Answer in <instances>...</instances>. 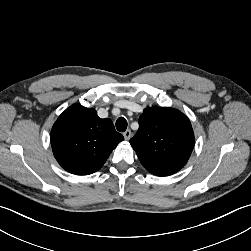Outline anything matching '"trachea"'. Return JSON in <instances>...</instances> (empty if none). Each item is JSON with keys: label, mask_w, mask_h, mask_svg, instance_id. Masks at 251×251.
<instances>
[{"label": "trachea", "mask_w": 251, "mask_h": 251, "mask_svg": "<svg viewBox=\"0 0 251 251\" xmlns=\"http://www.w3.org/2000/svg\"><path fill=\"white\" fill-rule=\"evenodd\" d=\"M116 129L119 132H124L127 129V121L124 117H119L116 121Z\"/></svg>", "instance_id": "1"}]
</instances>
